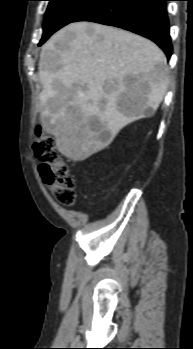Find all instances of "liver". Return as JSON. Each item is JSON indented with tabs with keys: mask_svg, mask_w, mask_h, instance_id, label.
<instances>
[{
	"mask_svg": "<svg viewBox=\"0 0 193 349\" xmlns=\"http://www.w3.org/2000/svg\"><path fill=\"white\" fill-rule=\"evenodd\" d=\"M167 74L166 57L152 41L111 26L71 23L41 50L42 126L60 153L83 161L157 110Z\"/></svg>",
	"mask_w": 193,
	"mask_h": 349,
	"instance_id": "liver-1",
	"label": "liver"
}]
</instances>
